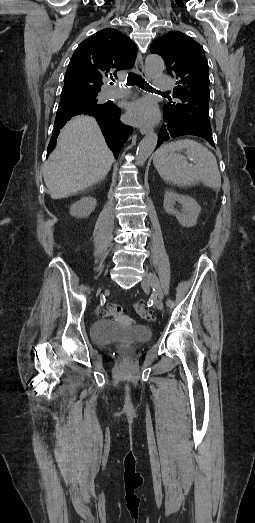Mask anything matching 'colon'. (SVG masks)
I'll use <instances>...</instances> for the list:
<instances>
[{"instance_id":"obj_1","label":"colon","mask_w":255,"mask_h":523,"mask_svg":"<svg viewBox=\"0 0 255 523\" xmlns=\"http://www.w3.org/2000/svg\"><path fill=\"white\" fill-rule=\"evenodd\" d=\"M134 310L135 312L144 320L150 321L152 320V314L150 311L146 308L145 304L142 301H138L134 304ZM123 312L122 306L118 304H111L109 305L107 309V313L110 315H120Z\"/></svg>"}]
</instances>
